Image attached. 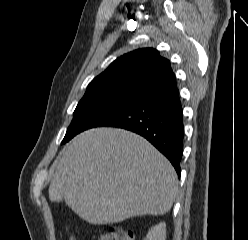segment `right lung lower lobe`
I'll return each instance as SVG.
<instances>
[{
  "label": "right lung lower lobe",
  "instance_id": "98d812e1",
  "mask_svg": "<svg viewBox=\"0 0 248 240\" xmlns=\"http://www.w3.org/2000/svg\"><path fill=\"white\" fill-rule=\"evenodd\" d=\"M101 126L123 128L143 136L168 158L180 177L184 126L177 87L137 100L93 127Z\"/></svg>",
  "mask_w": 248,
  "mask_h": 240
}]
</instances>
